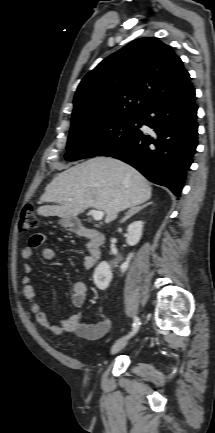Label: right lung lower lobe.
<instances>
[{"instance_id": "1", "label": "right lung lower lobe", "mask_w": 215, "mask_h": 433, "mask_svg": "<svg viewBox=\"0 0 215 433\" xmlns=\"http://www.w3.org/2000/svg\"><path fill=\"white\" fill-rule=\"evenodd\" d=\"M196 119L195 90L189 82L142 115V125L153 128L154 136L140 131L127 144L103 156L130 164L151 182L168 187L179 197L198 144Z\"/></svg>"}]
</instances>
